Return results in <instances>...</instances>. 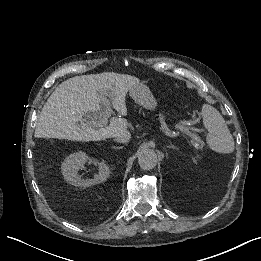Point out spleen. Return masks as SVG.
I'll return each mask as SVG.
<instances>
[{
	"instance_id": "1",
	"label": "spleen",
	"mask_w": 261,
	"mask_h": 261,
	"mask_svg": "<svg viewBox=\"0 0 261 261\" xmlns=\"http://www.w3.org/2000/svg\"><path fill=\"white\" fill-rule=\"evenodd\" d=\"M202 116L204 126L208 130L206 141L210 149L218 153H232L234 139L222 115L216 109L204 106Z\"/></svg>"
}]
</instances>
